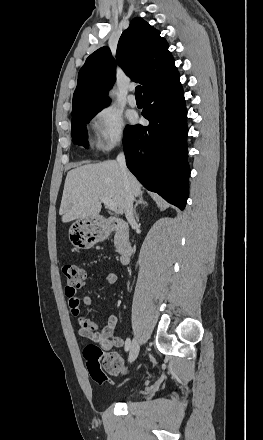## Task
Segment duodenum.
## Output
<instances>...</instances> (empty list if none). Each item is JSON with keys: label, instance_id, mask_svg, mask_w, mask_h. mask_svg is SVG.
<instances>
[{"label": "duodenum", "instance_id": "410a0bca", "mask_svg": "<svg viewBox=\"0 0 263 440\" xmlns=\"http://www.w3.org/2000/svg\"><path fill=\"white\" fill-rule=\"evenodd\" d=\"M102 226L105 229V238H107L112 232L117 233L119 243V264H126L133 254V246L128 237V223L118 218L107 217L103 221Z\"/></svg>", "mask_w": 263, "mask_h": 440}]
</instances>
